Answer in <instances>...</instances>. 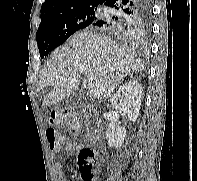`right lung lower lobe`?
I'll use <instances>...</instances> for the list:
<instances>
[{"label": "right lung lower lobe", "mask_w": 197, "mask_h": 181, "mask_svg": "<svg viewBox=\"0 0 197 181\" xmlns=\"http://www.w3.org/2000/svg\"><path fill=\"white\" fill-rule=\"evenodd\" d=\"M105 5L117 10V15L99 19L92 26L114 31L128 38L141 36L149 26L151 0H108Z\"/></svg>", "instance_id": "right-lung-lower-lobe-1"}]
</instances>
